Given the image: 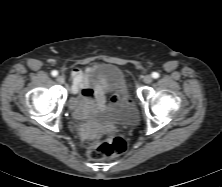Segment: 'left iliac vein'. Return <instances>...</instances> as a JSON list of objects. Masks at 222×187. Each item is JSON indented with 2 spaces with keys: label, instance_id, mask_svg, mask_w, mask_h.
<instances>
[{
  "label": "left iliac vein",
  "instance_id": "left-iliac-vein-1",
  "mask_svg": "<svg viewBox=\"0 0 222 187\" xmlns=\"http://www.w3.org/2000/svg\"><path fill=\"white\" fill-rule=\"evenodd\" d=\"M153 78L151 75H146L144 76L143 78V82L146 83V84H150L152 82Z\"/></svg>",
  "mask_w": 222,
  "mask_h": 187
}]
</instances>
